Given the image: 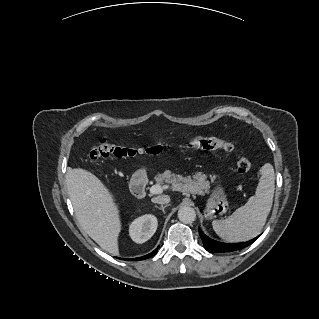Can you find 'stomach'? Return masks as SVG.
Listing matches in <instances>:
<instances>
[{
  "mask_svg": "<svg viewBox=\"0 0 319 319\" xmlns=\"http://www.w3.org/2000/svg\"><path fill=\"white\" fill-rule=\"evenodd\" d=\"M210 206H208L211 212L217 214H223L226 212V203L223 199L222 192L220 190H215L213 193V197L210 201Z\"/></svg>",
  "mask_w": 319,
  "mask_h": 319,
  "instance_id": "1",
  "label": "stomach"
}]
</instances>
